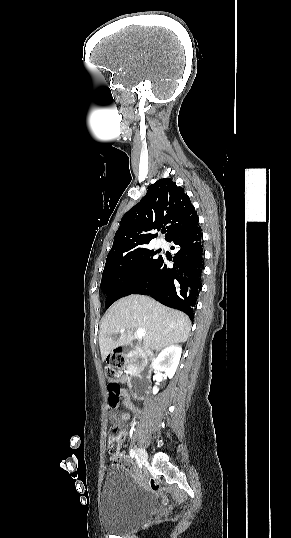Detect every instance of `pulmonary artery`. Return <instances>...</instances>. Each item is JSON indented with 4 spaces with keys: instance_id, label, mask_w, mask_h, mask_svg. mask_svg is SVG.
I'll return each instance as SVG.
<instances>
[{
    "instance_id": "obj_1",
    "label": "pulmonary artery",
    "mask_w": 291,
    "mask_h": 538,
    "mask_svg": "<svg viewBox=\"0 0 291 538\" xmlns=\"http://www.w3.org/2000/svg\"><path fill=\"white\" fill-rule=\"evenodd\" d=\"M156 246H157V247H161V246H162V242H161V241H157Z\"/></svg>"
}]
</instances>
